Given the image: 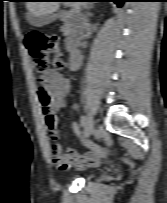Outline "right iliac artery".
I'll use <instances>...</instances> for the list:
<instances>
[{
  "instance_id": "obj_1",
  "label": "right iliac artery",
  "mask_w": 167,
  "mask_h": 203,
  "mask_svg": "<svg viewBox=\"0 0 167 203\" xmlns=\"http://www.w3.org/2000/svg\"><path fill=\"white\" fill-rule=\"evenodd\" d=\"M81 126L85 129L87 126V117L86 116H81L80 118Z\"/></svg>"
}]
</instances>
